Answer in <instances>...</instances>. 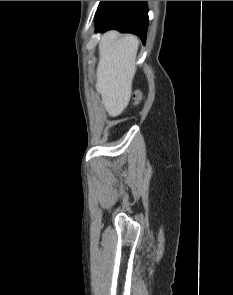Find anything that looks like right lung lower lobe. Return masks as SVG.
<instances>
[{
  "label": "right lung lower lobe",
  "mask_w": 233,
  "mask_h": 295,
  "mask_svg": "<svg viewBox=\"0 0 233 295\" xmlns=\"http://www.w3.org/2000/svg\"><path fill=\"white\" fill-rule=\"evenodd\" d=\"M146 1H101L96 12V32L116 29L133 33L145 43L148 26Z\"/></svg>",
  "instance_id": "98d812e1"
}]
</instances>
